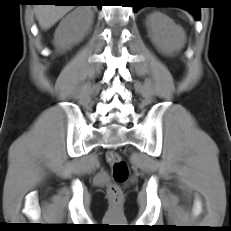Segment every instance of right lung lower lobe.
<instances>
[{"label": "right lung lower lobe", "mask_w": 231, "mask_h": 231, "mask_svg": "<svg viewBox=\"0 0 231 231\" xmlns=\"http://www.w3.org/2000/svg\"><path fill=\"white\" fill-rule=\"evenodd\" d=\"M40 3H54L55 5H76L79 0H36ZM100 7V6H99Z\"/></svg>", "instance_id": "right-lung-lower-lobe-1"}]
</instances>
